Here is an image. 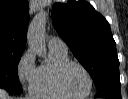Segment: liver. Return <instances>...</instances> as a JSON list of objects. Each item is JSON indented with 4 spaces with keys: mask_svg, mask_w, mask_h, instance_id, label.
Segmentation results:
<instances>
[{
    "mask_svg": "<svg viewBox=\"0 0 128 99\" xmlns=\"http://www.w3.org/2000/svg\"><path fill=\"white\" fill-rule=\"evenodd\" d=\"M0 99H11L7 92L3 89H0Z\"/></svg>",
    "mask_w": 128,
    "mask_h": 99,
    "instance_id": "6515ba94",
    "label": "liver"
}]
</instances>
